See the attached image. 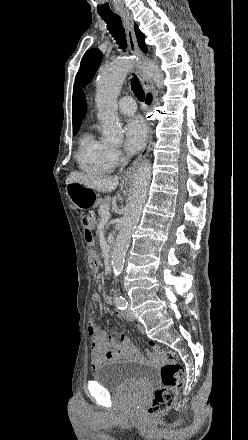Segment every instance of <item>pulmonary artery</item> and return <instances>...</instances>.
<instances>
[{
	"instance_id": "obj_1",
	"label": "pulmonary artery",
	"mask_w": 248,
	"mask_h": 440,
	"mask_svg": "<svg viewBox=\"0 0 248 440\" xmlns=\"http://www.w3.org/2000/svg\"><path fill=\"white\" fill-rule=\"evenodd\" d=\"M118 109L122 114L131 115L136 111V103L132 97L124 96L118 102Z\"/></svg>"
}]
</instances>
